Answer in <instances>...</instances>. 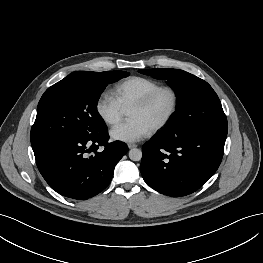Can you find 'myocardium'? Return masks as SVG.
<instances>
[{"label":"myocardium","mask_w":263,"mask_h":263,"mask_svg":"<svg viewBox=\"0 0 263 263\" xmlns=\"http://www.w3.org/2000/svg\"><path fill=\"white\" fill-rule=\"evenodd\" d=\"M162 92H168L170 94L172 100L171 107L169 112L165 115V117L152 127V132H157L162 128H164L166 125L170 123V121L175 116L179 107V95L176 89L173 88L172 86H167V85L159 86L131 106V108H139V109L147 108Z\"/></svg>","instance_id":"1"}]
</instances>
